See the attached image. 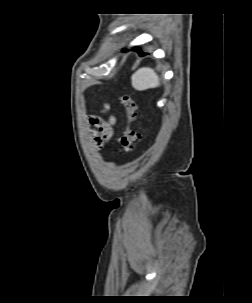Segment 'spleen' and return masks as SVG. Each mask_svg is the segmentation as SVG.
<instances>
[{
    "mask_svg": "<svg viewBox=\"0 0 252 303\" xmlns=\"http://www.w3.org/2000/svg\"><path fill=\"white\" fill-rule=\"evenodd\" d=\"M131 82L134 89L144 91L160 85L159 77L156 72L149 67L138 69L132 76Z\"/></svg>",
    "mask_w": 252,
    "mask_h": 303,
    "instance_id": "spleen-1",
    "label": "spleen"
}]
</instances>
